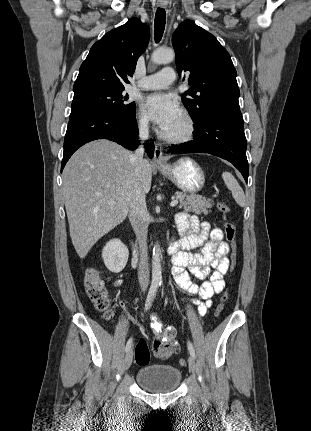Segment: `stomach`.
<instances>
[{
	"instance_id": "0dacf381",
	"label": "stomach",
	"mask_w": 311,
	"mask_h": 431,
	"mask_svg": "<svg viewBox=\"0 0 311 431\" xmlns=\"http://www.w3.org/2000/svg\"><path fill=\"white\" fill-rule=\"evenodd\" d=\"M156 168L185 194H198L205 184L204 172L192 158H180L171 166Z\"/></svg>"
}]
</instances>
